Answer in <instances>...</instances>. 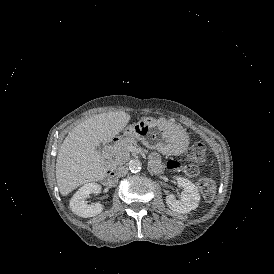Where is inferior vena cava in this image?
I'll return each instance as SVG.
<instances>
[{"instance_id": "inferior-vena-cava-1", "label": "inferior vena cava", "mask_w": 274, "mask_h": 274, "mask_svg": "<svg viewBox=\"0 0 274 274\" xmlns=\"http://www.w3.org/2000/svg\"><path fill=\"white\" fill-rule=\"evenodd\" d=\"M128 170H129L128 167L120 166L116 169L115 173L118 177H122V176H125L128 173Z\"/></svg>"}]
</instances>
